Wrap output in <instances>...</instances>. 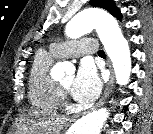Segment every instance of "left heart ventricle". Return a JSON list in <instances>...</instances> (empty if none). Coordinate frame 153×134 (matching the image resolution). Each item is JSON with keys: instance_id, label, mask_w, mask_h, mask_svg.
Here are the masks:
<instances>
[{"instance_id": "1", "label": "left heart ventricle", "mask_w": 153, "mask_h": 134, "mask_svg": "<svg viewBox=\"0 0 153 134\" xmlns=\"http://www.w3.org/2000/svg\"><path fill=\"white\" fill-rule=\"evenodd\" d=\"M72 82H73V76L70 75V76L66 77L65 79H63V80L61 81V84H62L64 87H66L67 89H69V88L71 87V85H72Z\"/></svg>"}]
</instances>
